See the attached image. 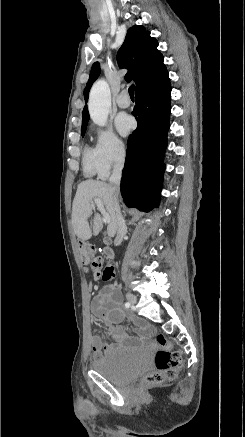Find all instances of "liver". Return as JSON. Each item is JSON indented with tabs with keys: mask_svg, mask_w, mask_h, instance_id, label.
Listing matches in <instances>:
<instances>
[{
	"mask_svg": "<svg viewBox=\"0 0 245 437\" xmlns=\"http://www.w3.org/2000/svg\"><path fill=\"white\" fill-rule=\"evenodd\" d=\"M93 199H100L109 214L110 222H108L107 229L109 236L113 237L117 232V217L112 186L101 181L86 180L78 185L72 206L74 232L83 241L90 239L92 235L97 236L103 229V220L100 214L94 216L93 229L89 225L88 219L92 215L93 207L91 203Z\"/></svg>",
	"mask_w": 245,
	"mask_h": 437,
	"instance_id": "obj_1",
	"label": "liver"
}]
</instances>
